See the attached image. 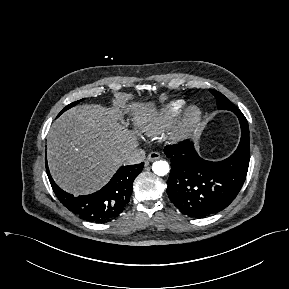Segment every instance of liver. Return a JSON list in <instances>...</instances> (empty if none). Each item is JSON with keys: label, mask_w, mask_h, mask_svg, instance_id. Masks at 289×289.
<instances>
[{"label": "liver", "mask_w": 289, "mask_h": 289, "mask_svg": "<svg viewBox=\"0 0 289 289\" xmlns=\"http://www.w3.org/2000/svg\"><path fill=\"white\" fill-rule=\"evenodd\" d=\"M138 124L153 121L158 112L153 104L133 103ZM114 110L99 105L74 107L52 125L47 137V159L52 177L66 192L89 194L104 186L124 156L138 146L134 132L119 121Z\"/></svg>", "instance_id": "obj_1"}]
</instances>
